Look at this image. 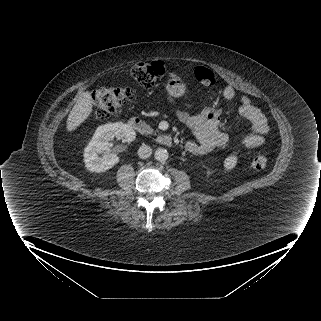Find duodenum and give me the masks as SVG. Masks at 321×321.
Returning <instances> with one entry per match:
<instances>
[{
  "label": "duodenum",
  "instance_id": "1",
  "mask_svg": "<svg viewBox=\"0 0 321 321\" xmlns=\"http://www.w3.org/2000/svg\"><path fill=\"white\" fill-rule=\"evenodd\" d=\"M129 125L132 129L143 136H153L160 145L170 147L173 144L172 138L167 134L154 135L151 127L140 117H132L129 120Z\"/></svg>",
  "mask_w": 321,
  "mask_h": 321
}]
</instances>
